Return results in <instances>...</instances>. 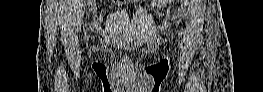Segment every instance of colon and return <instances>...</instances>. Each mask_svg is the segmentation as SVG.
Masks as SVG:
<instances>
[{"label":"colon","mask_w":263,"mask_h":92,"mask_svg":"<svg viewBox=\"0 0 263 92\" xmlns=\"http://www.w3.org/2000/svg\"><path fill=\"white\" fill-rule=\"evenodd\" d=\"M152 3H155V4H163V3H166V2H169V1H166V0H153V1H150Z\"/></svg>","instance_id":"colon-1"}]
</instances>
